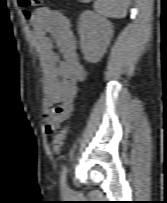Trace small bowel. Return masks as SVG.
<instances>
[{
	"mask_svg": "<svg viewBox=\"0 0 167 203\" xmlns=\"http://www.w3.org/2000/svg\"><path fill=\"white\" fill-rule=\"evenodd\" d=\"M33 38L44 78V121L53 133L72 114L77 85L85 78L70 19L40 8L31 18Z\"/></svg>",
	"mask_w": 167,
	"mask_h": 203,
	"instance_id": "small-bowel-1",
	"label": "small bowel"
}]
</instances>
